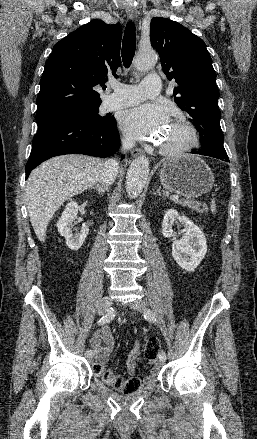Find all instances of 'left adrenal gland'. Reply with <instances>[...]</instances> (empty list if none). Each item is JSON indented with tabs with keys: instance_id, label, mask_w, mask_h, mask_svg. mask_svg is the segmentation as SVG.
I'll return each mask as SVG.
<instances>
[{
	"instance_id": "obj_1",
	"label": "left adrenal gland",
	"mask_w": 257,
	"mask_h": 439,
	"mask_svg": "<svg viewBox=\"0 0 257 439\" xmlns=\"http://www.w3.org/2000/svg\"><path fill=\"white\" fill-rule=\"evenodd\" d=\"M154 195L162 196L161 194V187H159L156 192L153 193Z\"/></svg>"
}]
</instances>
